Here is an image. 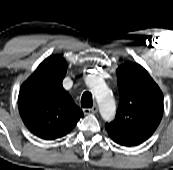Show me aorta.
<instances>
[{"instance_id":"aorta-1","label":"aorta","mask_w":173,"mask_h":170,"mask_svg":"<svg viewBox=\"0 0 173 170\" xmlns=\"http://www.w3.org/2000/svg\"><path fill=\"white\" fill-rule=\"evenodd\" d=\"M92 92L97 100L99 111L105 121H111L115 117L116 105L109 88L99 79L91 84Z\"/></svg>"}]
</instances>
